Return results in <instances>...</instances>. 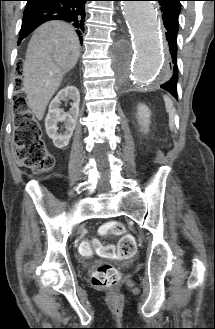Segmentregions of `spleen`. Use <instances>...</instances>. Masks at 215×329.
<instances>
[{"label":"spleen","mask_w":215,"mask_h":329,"mask_svg":"<svg viewBox=\"0 0 215 329\" xmlns=\"http://www.w3.org/2000/svg\"><path fill=\"white\" fill-rule=\"evenodd\" d=\"M164 102L166 111L169 113V124L170 128H173L174 125V115H175V108L173 107V101L168 97L164 96Z\"/></svg>","instance_id":"3e777b00"}]
</instances>
